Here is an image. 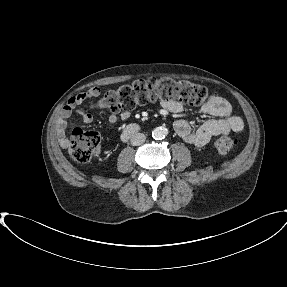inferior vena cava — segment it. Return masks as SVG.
Returning <instances> with one entry per match:
<instances>
[{
  "label": "inferior vena cava",
  "instance_id": "602c4592",
  "mask_svg": "<svg viewBox=\"0 0 287 287\" xmlns=\"http://www.w3.org/2000/svg\"><path fill=\"white\" fill-rule=\"evenodd\" d=\"M146 136L143 133H136L132 135L130 142L133 146L141 145L145 142Z\"/></svg>",
  "mask_w": 287,
  "mask_h": 287
}]
</instances>
